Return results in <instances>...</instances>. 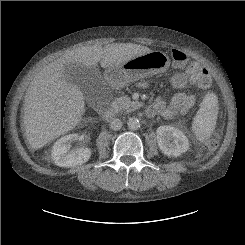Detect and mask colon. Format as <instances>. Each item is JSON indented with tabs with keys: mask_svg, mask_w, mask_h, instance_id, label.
Returning a JSON list of instances; mask_svg holds the SVG:
<instances>
[{
	"mask_svg": "<svg viewBox=\"0 0 245 245\" xmlns=\"http://www.w3.org/2000/svg\"><path fill=\"white\" fill-rule=\"evenodd\" d=\"M171 58L175 66L179 68H186L190 65L189 56L181 50L172 49L170 52ZM195 81L199 87L208 89L212 84V79L207 72L198 73L195 76ZM219 140L218 133H212L206 141H204L197 150V156L199 158H205L217 147Z\"/></svg>",
	"mask_w": 245,
	"mask_h": 245,
	"instance_id": "obj_1",
	"label": "colon"
}]
</instances>
